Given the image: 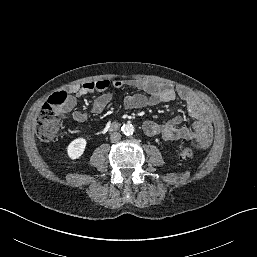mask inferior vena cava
Segmentation results:
<instances>
[{
    "label": "inferior vena cava",
    "mask_w": 257,
    "mask_h": 257,
    "mask_svg": "<svg viewBox=\"0 0 257 257\" xmlns=\"http://www.w3.org/2000/svg\"><path fill=\"white\" fill-rule=\"evenodd\" d=\"M120 139H121V134L118 133V132H113V133L110 135V140H111L112 143H116V142H118Z\"/></svg>",
    "instance_id": "1"
}]
</instances>
